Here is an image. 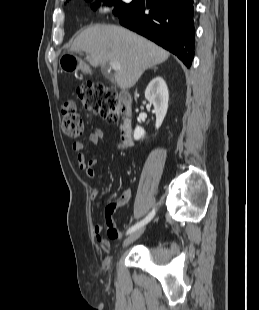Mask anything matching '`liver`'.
<instances>
[{
  "label": "liver",
  "instance_id": "liver-1",
  "mask_svg": "<svg viewBox=\"0 0 259 310\" xmlns=\"http://www.w3.org/2000/svg\"><path fill=\"white\" fill-rule=\"evenodd\" d=\"M70 51H84L87 62L95 68L118 61L121 67L114 79L123 90L133 87L146 69L169 57V53L155 43L116 25L86 28L75 38Z\"/></svg>",
  "mask_w": 259,
  "mask_h": 310
}]
</instances>
